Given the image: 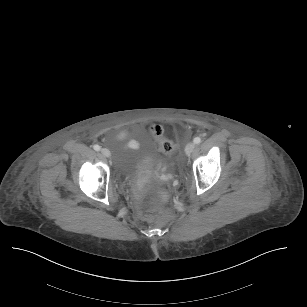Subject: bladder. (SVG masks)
Masks as SVG:
<instances>
[{
    "label": "bladder",
    "instance_id": "bladder-1",
    "mask_svg": "<svg viewBox=\"0 0 307 307\" xmlns=\"http://www.w3.org/2000/svg\"><path fill=\"white\" fill-rule=\"evenodd\" d=\"M161 159L162 157L152 149L141 146L131 147L121 158V170L127 176H134Z\"/></svg>",
    "mask_w": 307,
    "mask_h": 307
}]
</instances>
